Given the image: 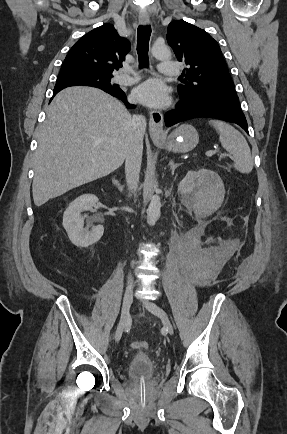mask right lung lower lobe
Listing matches in <instances>:
<instances>
[{
    "label": "right lung lower lobe",
    "instance_id": "98d812e1",
    "mask_svg": "<svg viewBox=\"0 0 287 434\" xmlns=\"http://www.w3.org/2000/svg\"><path fill=\"white\" fill-rule=\"evenodd\" d=\"M63 88H65V87H61L59 89H54L53 96H55ZM104 91L109 93L110 95L118 98L119 100H121L126 105L127 108H135L136 107L135 105L128 103L125 93L120 88H116L114 90H104Z\"/></svg>",
    "mask_w": 287,
    "mask_h": 434
}]
</instances>
